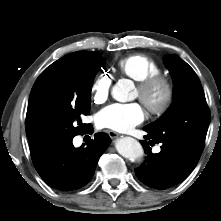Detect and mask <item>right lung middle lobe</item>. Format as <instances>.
I'll use <instances>...</instances> for the list:
<instances>
[{
	"label": "right lung middle lobe",
	"mask_w": 221,
	"mask_h": 221,
	"mask_svg": "<svg viewBox=\"0 0 221 221\" xmlns=\"http://www.w3.org/2000/svg\"><path fill=\"white\" fill-rule=\"evenodd\" d=\"M103 65L101 54L45 69L29 97L26 134L30 148L63 143L83 131L81 117L88 115L94 77Z\"/></svg>",
	"instance_id": "dd1d6c3e"
}]
</instances>
